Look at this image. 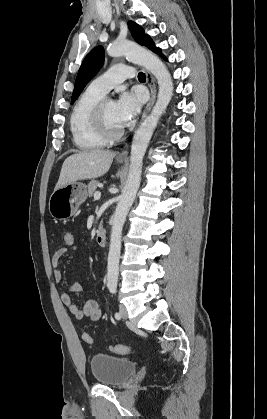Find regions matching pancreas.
I'll use <instances>...</instances> for the list:
<instances>
[{"label": "pancreas", "mask_w": 267, "mask_h": 419, "mask_svg": "<svg viewBox=\"0 0 267 419\" xmlns=\"http://www.w3.org/2000/svg\"><path fill=\"white\" fill-rule=\"evenodd\" d=\"M98 185H99V182L97 180H91L88 183V196L89 197H92L95 194V190Z\"/></svg>", "instance_id": "cf45deb5"}]
</instances>
